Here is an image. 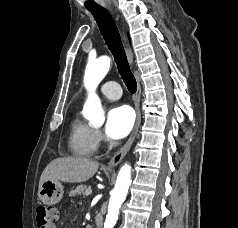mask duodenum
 <instances>
[{"instance_id": "1", "label": "duodenum", "mask_w": 238, "mask_h": 228, "mask_svg": "<svg viewBox=\"0 0 238 228\" xmlns=\"http://www.w3.org/2000/svg\"><path fill=\"white\" fill-rule=\"evenodd\" d=\"M94 228H103V218L100 214L94 216Z\"/></svg>"}]
</instances>
